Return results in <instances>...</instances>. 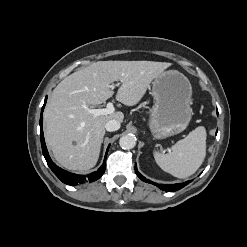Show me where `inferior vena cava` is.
<instances>
[{
  "instance_id": "inferior-vena-cava-1",
  "label": "inferior vena cava",
  "mask_w": 247,
  "mask_h": 247,
  "mask_svg": "<svg viewBox=\"0 0 247 247\" xmlns=\"http://www.w3.org/2000/svg\"><path fill=\"white\" fill-rule=\"evenodd\" d=\"M105 128L109 132L116 131L120 128V122L116 119L109 120L106 123Z\"/></svg>"
}]
</instances>
